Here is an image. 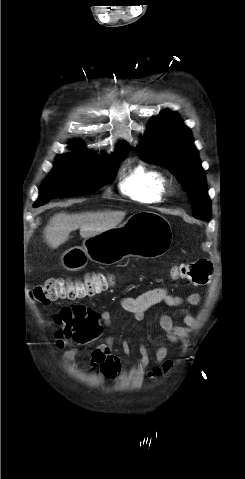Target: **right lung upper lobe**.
Segmentation results:
<instances>
[{
  "label": "right lung upper lobe",
  "instance_id": "1",
  "mask_svg": "<svg viewBox=\"0 0 245 479\" xmlns=\"http://www.w3.org/2000/svg\"><path fill=\"white\" fill-rule=\"evenodd\" d=\"M129 151L128 147L126 145H120V148L117 152H126Z\"/></svg>",
  "mask_w": 245,
  "mask_h": 479
}]
</instances>
